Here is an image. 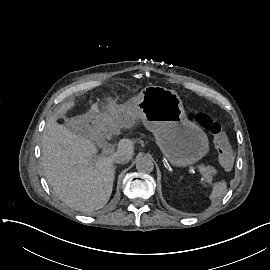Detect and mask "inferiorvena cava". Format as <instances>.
<instances>
[{"mask_svg":"<svg viewBox=\"0 0 270 270\" xmlns=\"http://www.w3.org/2000/svg\"><path fill=\"white\" fill-rule=\"evenodd\" d=\"M111 157L113 163H126L130 160L126 154L119 153L118 151L111 155Z\"/></svg>","mask_w":270,"mask_h":270,"instance_id":"602c4592","label":"inferior vena cava"}]
</instances>
